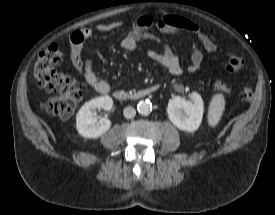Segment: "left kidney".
Listing matches in <instances>:
<instances>
[{"label": "left kidney", "mask_w": 275, "mask_h": 215, "mask_svg": "<svg viewBox=\"0 0 275 215\" xmlns=\"http://www.w3.org/2000/svg\"><path fill=\"white\" fill-rule=\"evenodd\" d=\"M192 100L187 101L177 96L168 102L169 119L180 130L194 132L201 124L204 111L202 97L197 92H193Z\"/></svg>", "instance_id": "obj_1"}]
</instances>
